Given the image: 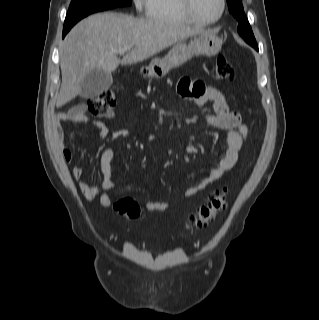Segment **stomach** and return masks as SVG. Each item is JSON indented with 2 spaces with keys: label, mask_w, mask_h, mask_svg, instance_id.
Masks as SVG:
<instances>
[{
  "label": "stomach",
  "mask_w": 319,
  "mask_h": 320,
  "mask_svg": "<svg viewBox=\"0 0 319 320\" xmlns=\"http://www.w3.org/2000/svg\"><path fill=\"white\" fill-rule=\"evenodd\" d=\"M223 39L214 32L205 31L195 35L187 44L182 40L177 42L164 58L153 59L145 69L152 79H161L168 72L186 63L193 55L214 56L222 48Z\"/></svg>",
  "instance_id": "0dacf381"
}]
</instances>
